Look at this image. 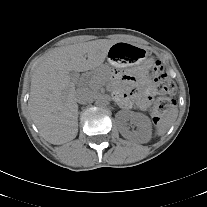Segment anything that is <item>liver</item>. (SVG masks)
I'll return each instance as SVG.
<instances>
[{"mask_svg":"<svg viewBox=\"0 0 207 207\" xmlns=\"http://www.w3.org/2000/svg\"><path fill=\"white\" fill-rule=\"evenodd\" d=\"M116 43L99 39L60 47L39 63L31 78L28 110L47 142L59 145L77 136V90L70 72L99 68Z\"/></svg>","mask_w":207,"mask_h":207,"instance_id":"6515ba94","label":"liver"}]
</instances>
